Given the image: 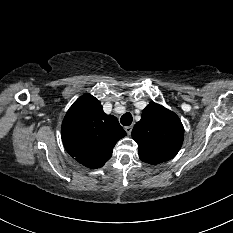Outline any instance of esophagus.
Instances as JSON below:
<instances>
[{"instance_id":"esophagus-1","label":"esophagus","mask_w":233,"mask_h":233,"mask_svg":"<svg viewBox=\"0 0 233 233\" xmlns=\"http://www.w3.org/2000/svg\"><path fill=\"white\" fill-rule=\"evenodd\" d=\"M125 131L127 132L128 135H130L132 131V126H126Z\"/></svg>"}]
</instances>
